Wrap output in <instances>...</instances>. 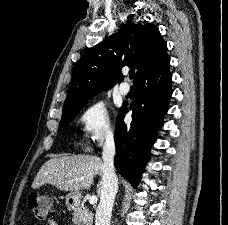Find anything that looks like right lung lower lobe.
I'll list each match as a JSON object with an SVG mask.
<instances>
[{"label":"right lung lower lobe","instance_id":"98d812e1","mask_svg":"<svg viewBox=\"0 0 228 225\" xmlns=\"http://www.w3.org/2000/svg\"><path fill=\"white\" fill-rule=\"evenodd\" d=\"M170 58L168 54L145 70L137 79L135 86L137 96L130 105L133 110L132 122L126 125L124 113L128 111L125 105L117 116L115 129V144L117 154L115 167L129 183L136 187L140 174L150 158V148L154 143L157 130L162 126L163 115L168 110L172 94V76L169 71Z\"/></svg>","mask_w":228,"mask_h":225}]
</instances>
